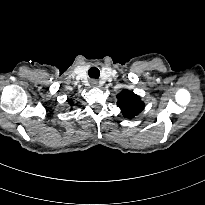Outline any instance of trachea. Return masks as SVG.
I'll use <instances>...</instances> for the list:
<instances>
[{
  "label": "trachea",
  "instance_id": "1",
  "mask_svg": "<svg viewBox=\"0 0 205 205\" xmlns=\"http://www.w3.org/2000/svg\"><path fill=\"white\" fill-rule=\"evenodd\" d=\"M88 73L91 78H95V79L99 78L100 75L99 69L96 67L90 68Z\"/></svg>",
  "mask_w": 205,
  "mask_h": 205
}]
</instances>
